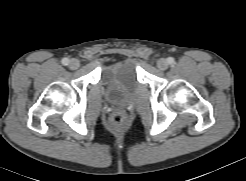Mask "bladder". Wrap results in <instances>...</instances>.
I'll list each match as a JSON object with an SVG mask.
<instances>
[{
	"instance_id": "1",
	"label": "bladder",
	"mask_w": 246,
	"mask_h": 181,
	"mask_svg": "<svg viewBox=\"0 0 246 181\" xmlns=\"http://www.w3.org/2000/svg\"><path fill=\"white\" fill-rule=\"evenodd\" d=\"M107 88L113 99H120L138 84V71L132 61H121L107 69Z\"/></svg>"
}]
</instances>
